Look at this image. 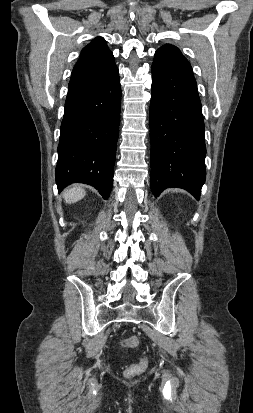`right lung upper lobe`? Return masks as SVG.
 <instances>
[{
	"instance_id": "obj_1",
	"label": "right lung upper lobe",
	"mask_w": 253,
	"mask_h": 413,
	"mask_svg": "<svg viewBox=\"0 0 253 413\" xmlns=\"http://www.w3.org/2000/svg\"><path fill=\"white\" fill-rule=\"evenodd\" d=\"M117 68L114 56L102 37L85 46L69 82L67 98L84 94L101 84Z\"/></svg>"
}]
</instances>
